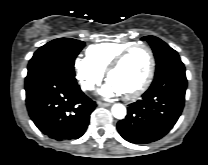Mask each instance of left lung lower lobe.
I'll list each match as a JSON object with an SVG mask.
<instances>
[{"mask_svg": "<svg viewBox=\"0 0 208 165\" xmlns=\"http://www.w3.org/2000/svg\"><path fill=\"white\" fill-rule=\"evenodd\" d=\"M187 88L184 65H175L155 74L142 99L130 104L117 130L127 141L150 143L165 136L180 117Z\"/></svg>", "mask_w": 208, "mask_h": 165, "instance_id": "left-lung-lower-lobe-1", "label": "left lung lower lobe"}]
</instances>
